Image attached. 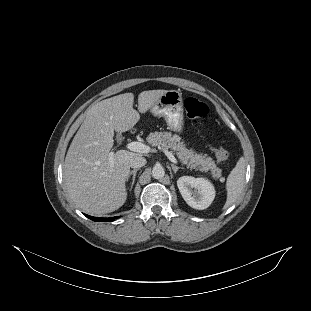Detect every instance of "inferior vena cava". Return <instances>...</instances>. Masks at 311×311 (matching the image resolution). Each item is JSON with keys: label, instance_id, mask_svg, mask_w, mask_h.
Here are the masks:
<instances>
[{"label": "inferior vena cava", "instance_id": "inferior-vena-cava-1", "mask_svg": "<svg viewBox=\"0 0 311 311\" xmlns=\"http://www.w3.org/2000/svg\"><path fill=\"white\" fill-rule=\"evenodd\" d=\"M146 163H147V161L144 157L137 156V157H134L133 159L130 160L129 166L131 168L138 169V168L145 166Z\"/></svg>", "mask_w": 311, "mask_h": 311}]
</instances>
